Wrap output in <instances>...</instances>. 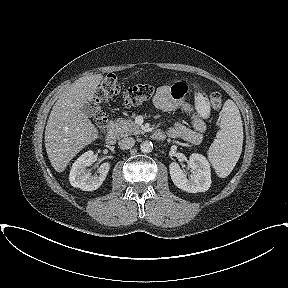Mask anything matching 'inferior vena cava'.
Instances as JSON below:
<instances>
[{
	"label": "inferior vena cava",
	"mask_w": 288,
	"mask_h": 288,
	"mask_svg": "<svg viewBox=\"0 0 288 288\" xmlns=\"http://www.w3.org/2000/svg\"><path fill=\"white\" fill-rule=\"evenodd\" d=\"M135 140L132 137L123 138L118 142L121 149H130L134 146Z\"/></svg>",
	"instance_id": "1"
}]
</instances>
